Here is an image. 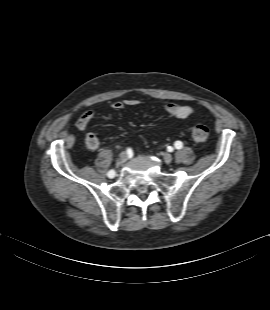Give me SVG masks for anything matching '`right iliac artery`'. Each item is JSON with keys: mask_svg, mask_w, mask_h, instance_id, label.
I'll return each instance as SVG.
<instances>
[{"mask_svg": "<svg viewBox=\"0 0 270 310\" xmlns=\"http://www.w3.org/2000/svg\"><path fill=\"white\" fill-rule=\"evenodd\" d=\"M107 175H108L109 178H113L115 176V171L114 170H110Z\"/></svg>", "mask_w": 270, "mask_h": 310, "instance_id": "82829eb1", "label": "right iliac artery"}]
</instances>
